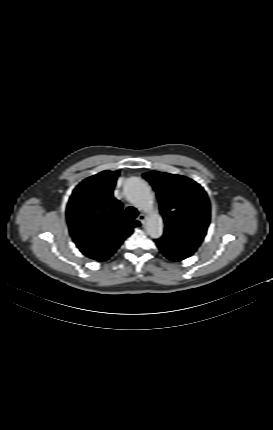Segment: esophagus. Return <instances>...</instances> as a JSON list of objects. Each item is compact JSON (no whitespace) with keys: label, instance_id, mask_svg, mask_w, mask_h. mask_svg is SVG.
<instances>
[{"label":"esophagus","instance_id":"obj_1","mask_svg":"<svg viewBox=\"0 0 273 430\" xmlns=\"http://www.w3.org/2000/svg\"><path fill=\"white\" fill-rule=\"evenodd\" d=\"M146 218H147V216H146L145 214H143V213H141V214L138 216V220H139L142 224H144V223H145Z\"/></svg>","mask_w":273,"mask_h":430}]
</instances>
